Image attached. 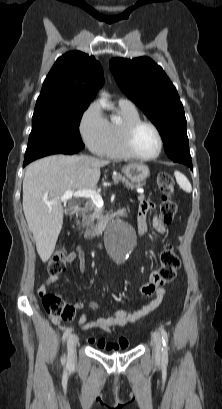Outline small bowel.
<instances>
[{
    "label": "small bowel",
    "instance_id": "small-bowel-1",
    "mask_svg": "<svg viewBox=\"0 0 222 409\" xmlns=\"http://www.w3.org/2000/svg\"><path fill=\"white\" fill-rule=\"evenodd\" d=\"M155 207V203L144 196L140 198L139 207H138V229L142 236H145L147 233V224L146 217L150 210ZM153 227L158 233H165L166 227L160 218L157 216L153 218ZM75 260L79 262V269L81 272L86 270V262L84 253L81 250L72 251L67 255V262L72 263ZM161 269H154L152 271L153 276H150L149 281H144L143 285L138 287V292L141 296L145 297H154L151 302L138 309L135 312H131L128 309H119L113 312L106 314L105 316L98 317L94 320L89 321L87 314L84 313L78 319V326L83 329H92L99 328L109 334H115V329L117 327H125L129 323L139 322L143 320L148 314L153 312L162 302L165 297L166 290L162 288V285L165 283L163 279ZM59 276L56 274H51L47 277L45 282L39 289V293L43 294L46 292L47 288L52 287L57 283ZM77 308H85L84 304H77ZM92 309H97L99 306L95 303L88 306ZM51 320L54 324H59L61 319L55 316H51ZM87 342L90 345H95L98 349L105 351L107 353L117 352L126 350L129 347V343L125 338H120L117 342L108 343L104 339L90 337L87 339Z\"/></svg>",
    "mask_w": 222,
    "mask_h": 409
}]
</instances>
